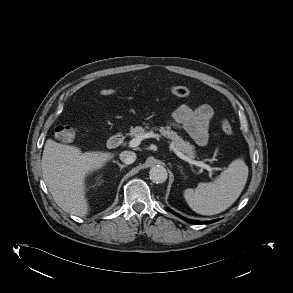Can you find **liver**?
Masks as SVG:
<instances>
[{
  "label": "liver",
  "instance_id": "liver-1",
  "mask_svg": "<svg viewBox=\"0 0 293 293\" xmlns=\"http://www.w3.org/2000/svg\"><path fill=\"white\" fill-rule=\"evenodd\" d=\"M113 154L88 151L48 139L41 167L43 179L57 205L65 212L84 217L89 205L86 198L87 176L102 168Z\"/></svg>",
  "mask_w": 293,
  "mask_h": 293
}]
</instances>
